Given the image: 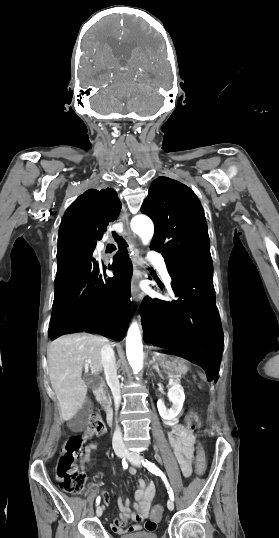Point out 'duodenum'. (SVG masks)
<instances>
[{
	"mask_svg": "<svg viewBox=\"0 0 279 538\" xmlns=\"http://www.w3.org/2000/svg\"><path fill=\"white\" fill-rule=\"evenodd\" d=\"M107 386V383L105 381H102L99 386V391H104V388ZM96 399H101V394H96ZM105 405L107 406V414H106V428L111 429L113 427V413L114 410L112 409V402L110 400H107L105 402Z\"/></svg>",
	"mask_w": 279,
	"mask_h": 538,
	"instance_id": "1",
	"label": "duodenum"
}]
</instances>
